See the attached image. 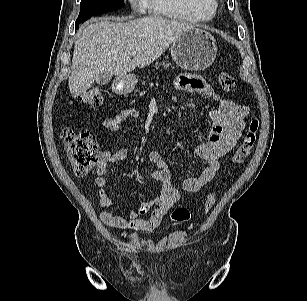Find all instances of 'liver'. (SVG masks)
<instances>
[{
	"mask_svg": "<svg viewBox=\"0 0 307 301\" xmlns=\"http://www.w3.org/2000/svg\"><path fill=\"white\" fill-rule=\"evenodd\" d=\"M193 27L157 16L87 25L75 41L68 84L71 95L78 97L91 88L103 72L123 77L151 64L183 31ZM132 51L136 52L133 59Z\"/></svg>",
	"mask_w": 307,
	"mask_h": 301,
	"instance_id": "6515ba94",
	"label": "liver"
}]
</instances>
